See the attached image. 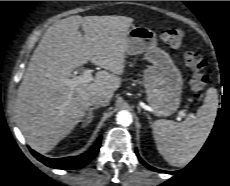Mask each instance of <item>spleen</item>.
I'll return each instance as SVG.
<instances>
[{
	"instance_id": "spleen-1",
	"label": "spleen",
	"mask_w": 230,
	"mask_h": 186,
	"mask_svg": "<svg viewBox=\"0 0 230 186\" xmlns=\"http://www.w3.org/2000/svg\"><path fill=\"white\" fill-rule=\"evenodd\" d=\"M217 109L218 93L210 87L194 119L182 123L161 119L152 124L157 149L170 165L185 166L197 155L213 128Z\"/></svg>"
}]
</instances>
